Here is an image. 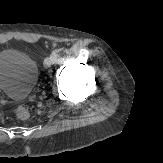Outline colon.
I'll list each match as a JSON object with an SVG mask.
<instances>
[{
	"mask_svg": "<svg viewBox=\"0 0 163 163\" xmlns=\"http://www.w3.org/2000/svg\"><path fill=\"white\" fill-rule=\"evenodd\" d=\"M15 115L18 119H27L30 115L29 110L24 106H19L15 109Z\"/></svg>",
	"mask_w": 163,
	"mask_h": 163,
	"instance_id": "colon-1",
	"label": "colon"
}]
</instances>
